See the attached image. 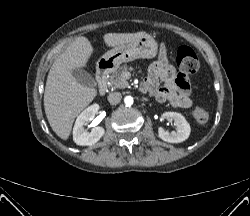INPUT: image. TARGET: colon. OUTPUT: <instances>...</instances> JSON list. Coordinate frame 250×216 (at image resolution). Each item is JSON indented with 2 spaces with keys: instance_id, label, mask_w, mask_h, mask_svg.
<instances>
[{
  "instance_id": "colon-1",
  "label": "colon",
  "mask_w": 250,
  "mask_h": 216,
  "mask_svg": "<svg viewBox=\"0 0 250 216\" xmlns=\"http://www.w3.org/2000/svg\"><path fill=\"white\" fill-rule=\"evenodd\" d=\"M176 62L181 74H194L199 69V60L194 50L188 46H180L176 52ZM194 121L198 124H205L209 119V113L202 104H197L192 112Z\"/></svg>"
}]
</instances>
